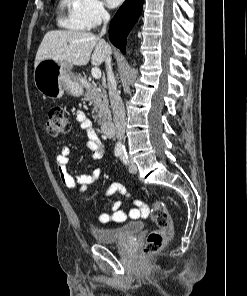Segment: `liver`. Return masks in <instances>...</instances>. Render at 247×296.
Listing matches in <instances>:
<instances>
[{"instance_id":"1","label":"liver","mask_w":247,"mask_h":296,"mask_svg":"<svg viewBox=\"0 0 247 296\" xmlns=\"http://www.w3.org/2000/svg\"><path fill=\"white\" fill-rule=\"evenodd\" d=\"M111 52L110 45L93 33L54 30L45 34L36 53L35 66L45 59L84 66L90 58L91 63L97 66L101 65Z\"/></svg>"}]
</instances>
